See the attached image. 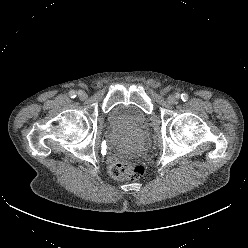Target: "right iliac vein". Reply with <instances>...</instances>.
Wrapping results in <instances>:
<instances>
[{
    "mask_svg": "<svg viewBox=\"0 0 248 248\" xmlns=\"http://www.w3.org/2000/svg\"><path fill=\"white\" fill-rule=\"evenodd\" d=\"M78 95H79V97H80L81 99H86V97H87V94H86L85 92H83V91H79V92H78Z\"/></svg>",
    "mask_w": 248,
    "mask_h": 248,
    "instance_id": "right-iliac-vein-1",
    "label": "right iliac vein"
}]
</instances>
